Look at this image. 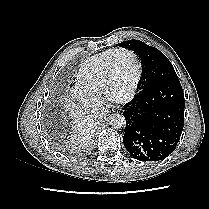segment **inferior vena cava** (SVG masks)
I'll return each mask as SVG.
<instances>
[{
    "instance_id": "obj_1",
    "label": "inferior vena cava",
    "mask_w": 209,
    "mask_h": 209,
    "mask_svg": "<svg viewBox=\"0 0 209 209\" xmlns=\"http://www.w3.org/2000/svg\"><path fill=\"white\" fill-rule=\"evenodd\" d=\"M101 114H105L103 110L101 111Z\"/></svg>"
}]
</instances>
